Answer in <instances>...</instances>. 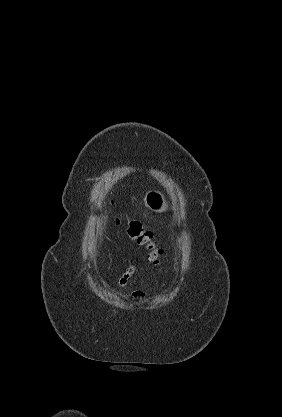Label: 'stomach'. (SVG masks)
<instances>
[{"label": "stomach", "mask_w": 282, "mask_h": 417, "mask_svg": "<svg viewBox=\"0 0 282 417\" xmlns=\"http://www.w3.org/2000/svg\"><path fill=\"white\" fill-rule=\"evenodd\" d=\"M143 200L145 206H148V209L154 211V213H164V211H167V200L160 190H147Z\"/></svg>", "instance_id": "obj_1"}]
</instances>
